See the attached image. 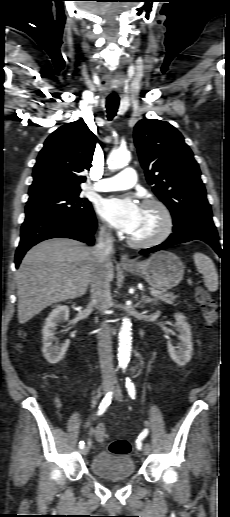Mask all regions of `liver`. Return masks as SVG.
I'll list each match as a JSON object with an SVG mask.
<instances>
[{
	"label": "liver",
	"instance_id": "6515ba94",
	"mask_svg": "<svg viewBox=\"0 0 230 517\" xmlns=\"http://www.w3.org/2000/svg\"><path fill=\"white\" fill-rule=\"evenodd\" d=\"M97 265L94 248L74 240L55 238L32 247L15 275L19 323L54 303L84 295ZM107 271L112 281V262Z\"/></svg>",
	"mask_w": 230,
	"mask_h": 517
}]
</instances>
